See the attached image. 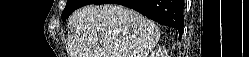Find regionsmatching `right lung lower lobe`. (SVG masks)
Wrapping results in <instances>:
<instances>
[{"label": "right lung lower lobe", "instance_id": "1", "mask_svg": "<svg viewBox=\"0 0 249 57\" xmlns=\"http://www.w3.org/2000/svg\"><path fill=\"white\" fill-rule=\"evenodd\" d=\"M116 3L132 8L144 16L160 23L183 30L182 0H92L90 4Z\"/></svg>", "mask_w": 249, "mask_h": 57}]
</instances>
